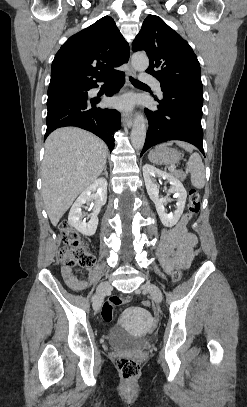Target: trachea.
Here are the masks:
<instances>
[{"mask_svg": "<svg viewBox=\"0 0 247 407\" xmlns=\"http://www.w3.org/2000/svg\"><path fill=\"white\" fill-rule=\"evenodd\" d=\"M129 79H130L131 83L134 84V85H146V84H143V83L137 81L133 77H130Z\"/></svg>", "mask_w": 247, "mask_h": 407, "instance_id": "3493384b", "label": "trachea"}]
</instances>
